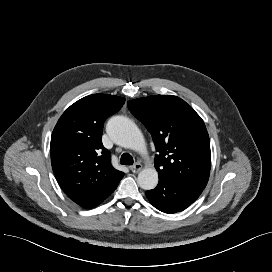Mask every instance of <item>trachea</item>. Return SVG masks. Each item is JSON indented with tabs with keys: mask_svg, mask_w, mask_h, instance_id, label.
Returning a JSON list of instances; mask_svg holds the SVG:
<instances>
[{
	"mask_svg": "<svg viewBox=\"0 0 272 272\" xmlns=\"http://www.w3.org/2000/svg\"><path fill=\"white\" fill-rule=\"evenodd\" d=\"M133 162V157L128 153H124L120 158V163L122 165H133Z\"/></svg>",
	"mask_w": 272,
	"mask_h": 272,
	"instance_id": "obj_1",
	"label": "trachea"
}]
</instances>
